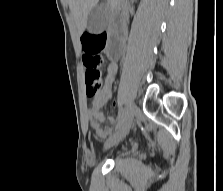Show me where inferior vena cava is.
I'll return each mask as SVG.
<instances>
[{"mask_svg": "<svg viewBox=\"0 0 223 191\" xmlns=\"http://www.w3.org/2000/svg\"><path fill=\"white\" fill-rule=\"evenodd\" d=\"M128 8H129L128 0H121L120 9L123 22H128Z\"/></svg>", "mask_w": 223, "mask_h": 191, "instance_id": "602c4592", "label": "inferior vena cava"}]
</instances>
